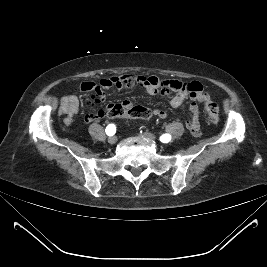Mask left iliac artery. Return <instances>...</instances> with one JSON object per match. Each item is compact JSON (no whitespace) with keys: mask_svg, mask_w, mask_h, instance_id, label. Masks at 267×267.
I'll list each match as a JSON object with an SVG mask.
<instances>
[{"mask_svg":"<svg viewBox=\"0 0 267 267\" xmlns=\"http://www.w3.org/2000/svg\"><path fill=\"white\" fill-rule=\"evenodd\" d=\"M171 140V136L169 134H163L161 137H160V141L163 142V143H167Z\"/></svg>","mask_w":267,"mask_h":267,"instance_id":"left-iliac-artery-1","label":"left iliac artery"}]
</instances>
